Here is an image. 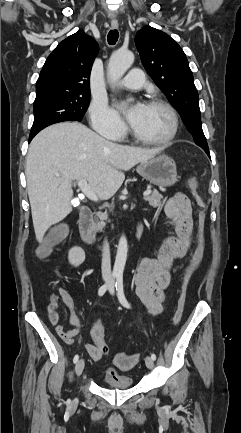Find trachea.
Masks as SVG:
<instances>
[{
    "label": "trachea",
    "mask_w": 241,
    "mask_h": 433,
    "mask_svg": "<svg viewBox=\"0 0 241 433\" xmlns=\"http://www.w3.org/2000/svg\"><path fill=\"white\" fill-rule=\"evenodd\" d=\"M119 38V33L116 29L110 30L107 36L108 43L114 45Z\"/></svg>",
    "instance_id": "3493384b"
}]
</instances>
